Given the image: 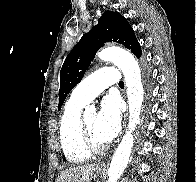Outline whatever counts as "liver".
<instances>
[{"label":"liver","mask_w":196,"mask_h":182,"mask_svg":"<svg viewBox=\"0 0 196 182\" xmlns=\"http://www.w3.org/2000/svg\"><path fill=\"white\" fill-rule=\"evenodd\" d=\"M95 171V163L78 165L63 170L56 182H90Z\"/></svg>","instance_id":"obj_1"}]
</instances>
